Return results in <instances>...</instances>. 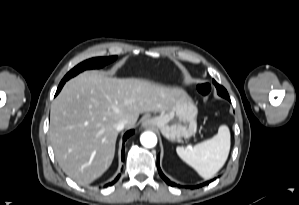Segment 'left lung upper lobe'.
Wrapping results in <instances>:
<instances>
[{
	"label": "left lung upper lobe",
	"instance_id": "obj_1",
	"mask_svg": "<svg viewBox=\"0 0 299 205\" xmlns=\"http://www.w3.org/2000/svg\"><path fill=\"white\" fill-rule=\"evenodd\" d=\"M213 83L215 84L216 88H217V93L222 96V97H229L226 89L224 87H222L221 85L217 84L214 80Z\"/></svg>",
	"mask_w": 299,
	"mask_h": 205
}]
</instances>
